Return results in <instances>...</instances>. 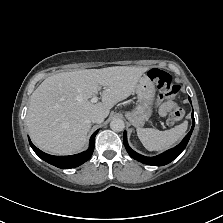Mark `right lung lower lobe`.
Masks as SVG:
<instances>
[{"instance_id": "obj_1", "label": "right lung lower lobe", "mask_w": 223, "mask_h": 223, "mask_svg": "<svg viewBox=\"0 0 223 223\" xmlns=\"http://www.w3.org/2000/svg\"><path fill=\"white\" fill-rule=\"evenodd\" d=\"M97 133H98V130L95 131L93 135L91 136L90 145L86 151L79 154L70 155V156H52V155L46 154L42 152L41 150H39L37 147H35L30 141V138L28 139H29V143L32 149L41 159H43L44 161L58 168L69 169V168L78 167L79 165L86 162L92 156V153L94 151V138Z\"/></svg>"}]
</instances>
